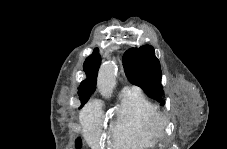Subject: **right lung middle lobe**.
I'll use <instances>...</instances> for the list:
<instances>
[{
    "label": "right lung middle lobe",
    "instance_id": "obj_1",
    "mask_svg": "<svg viewBox=\"0 0 227 149\" xmlns=\"http://www.w3.org/2000/svg\"><path fill=\"white\" fill-rule=\"evenodd\" d=\"M82 106H83V105H82ZM82 106H81V107H82ZM81 107H80V108H81ZM76 146H77L78 148L81 146L80 139H77V140H76Z\"/></svg>",
    "mask_w": 227,
    "mask_h": 149
}]
</instances>
